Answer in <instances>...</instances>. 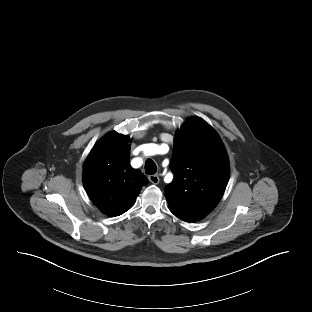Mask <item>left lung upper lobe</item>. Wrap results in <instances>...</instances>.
Wrapping results in <instances>:
<instances>
[{
	"instance_id": "1",
	"label": "left lung upper lobe",
	"mask_w": 312,
	"mask_h": 312,
	"mask_svg": "<svg viewBox=\"0 0 312 312\" xmlns=\"http://www.w3.org/2000/svg\"><path fill=\"white\" fill-rule=\"evenodd\" d=\"M171 169L174 179L165 189L171 212L179 219H203L219 202L230 168L216 131L199 117H191L174 138Z\"/></svg>"
}]
</instances>
